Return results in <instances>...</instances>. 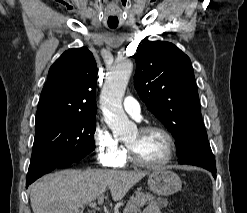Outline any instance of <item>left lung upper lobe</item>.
Returning <instances> with one entry per match:
<instances>
[{"mask_svg":"<svg viewBox=\"0 0 247 213\" xmlns=\"http://www.w3.org/2000/svg\"><path fill=\"white\" fill-rule=\"evenodd\" d=\"M135 59L137 93L172 133L182 157L197 139L208 138L191 61L166 41L143 42Z\"/></svg>","mask_w":247,"mask_h":213,"instance_id":"left-lung-upper-lobe-1","label":"left lung upper lobe"}]
</instances>
